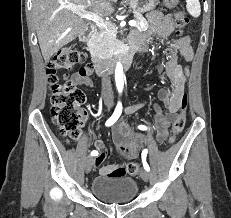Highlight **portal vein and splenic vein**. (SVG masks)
Listing matches in <instances>:
<instances>
[{"label":"portal vein and splenic vein","instance_id":"portal-vein-and-splenic-vein-1","mask_svg":"<svg viewBox=\"0 0 231 218\" xmlns=\"http://www.w3.org/2000/svg\"><path fill=\"white\" fill-rule=\"evenodd\" d=\"M92 3L89 2L87 5H72L69 7V9L71 11H73L74 13L79 14L81 17L91 20L99 25L105 26L107 25L109 22H106L102 17H100L99 15L95 14V13H91V12H86L85 8H87L88 6H91ZM136 21L135 20H131L129 21V25L132 27L136 26Z\"/></svg>","mask_w":231,"mask_h":218}]
</instances>
